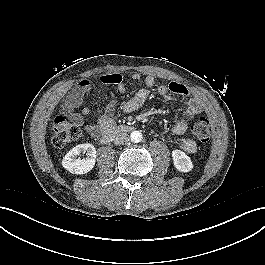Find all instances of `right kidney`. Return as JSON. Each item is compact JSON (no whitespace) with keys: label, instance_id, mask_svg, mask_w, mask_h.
<instances>
[{"label":"right kidney","instance_id":"obj_1","mask_svg":"<svg viewBox=\"0 0 265 265\" xmlns=\"http://www.w3.org/2000/svg\"><path fill=\"white\" fill-rule=\"evenodd\" d=\"M86 153L81 159L79 155ZM96 162V149L92 144L85 143L73 147L62 160V166L73 174H86L91 171Z\"/></svg>","mask_w":265,"mask_h":265}]
</instances>
